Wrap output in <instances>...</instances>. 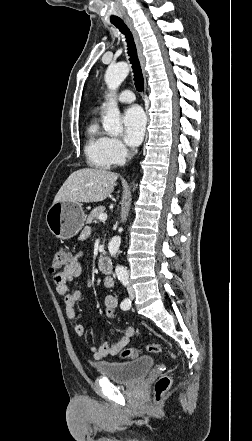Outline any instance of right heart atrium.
Segmentation results:
<instances>
[{"mask_svg": "<svg viewBox=\"0 0 252 441\" xmlns=\"http://www.w3.org/2000/svg\"><path fill=\"white\" fill-rule=\"evenodd\" d=\"M108 150L114 164L122 163L129 155L128 149L118 138H109Z\"/></svg>", "mask_w": 252, "mask_h": 441, "instance_id": "d8ad5b80", "label": "right heart atrium"}]
</instances>
